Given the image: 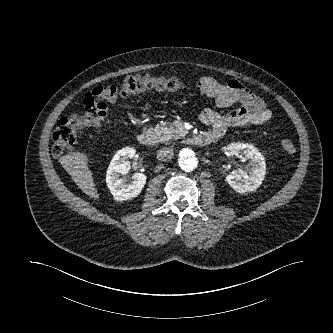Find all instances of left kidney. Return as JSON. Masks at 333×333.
<instances>
[{
    "label": "left kidney",
    "instance_id": "5707ae66",
    "mask_svg": "<svg viewBox=\"0 0 333 333\" xmlns=\"http://www.w3.org/2000/svg\"><path fill=\"white\" fill-rule=\"evenodd\" d=\"M231 155L244 156L251 160L248 171H232L226 176L227 183L238 193L252 192L262 183L266 173V163L259 150L248 143H232L227 148Z\"/></svg>",
    "mask_w": 333,
    "mask_h": 333
}]
</instances>
